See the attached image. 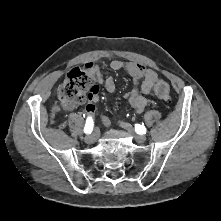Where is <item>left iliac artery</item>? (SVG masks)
Returning <instances> with one entry per match:
<instances>
[{
	"label": "left iliac artery",
	"mask_w": 221,
	"mask_h": 221,
	"mask_svg": "<svg viewBox=\"0 0 221 221\" xmlns=\"http://www.w3.org/2000/svg\"><path fill=\"white\" fill-rule=\"evenodd\" d=\"M135 131L138 134L143 135V134H146L147 129H146V127L144 125L135 124Z\"/></svg>",
	"instance_id": "1"
}]
</instances>
